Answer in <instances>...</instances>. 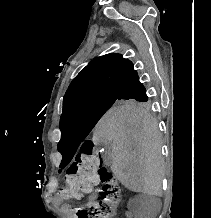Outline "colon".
I'll list each match as a JSON object with an SVG mask.
<instances>
[{"mask_svg": "<svg viewBox=\"0 0 211 218\" xmlns=\"http://www.w3.org/2000/svg\"><path fill=\"white\" fill-rule=\"evenodd\" d=\"M103 183L97 199L75 209L76 218H109L114 215L120 201V187L112 173L105 167L96 143L84 141L65 176V198H81Z\"/></svg>", "mask_w": 211, "mask_h": 218, "instance_id": "1", "label": "colon"}]
</instances>
